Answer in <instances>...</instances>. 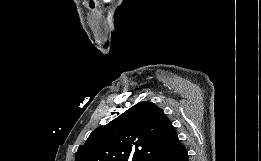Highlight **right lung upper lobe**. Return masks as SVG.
<instances>
[{
  "mask_svg": "<svg viewBox=\"0 0 261 161\" xmlns=\"http://www.w3.org/2000/svg\"><path fill=\"white\" fill-rule=\"evenodd\" d=\"M180 145L164 112L143 101L96 128L79 146L75 161H150Z\"/></svg>",
  "mask_w": 261,
  "mask_h": 161,
  "instance_id": "cb5924a9",
  "label": "right lung upper lobe"
}]
</instances>
